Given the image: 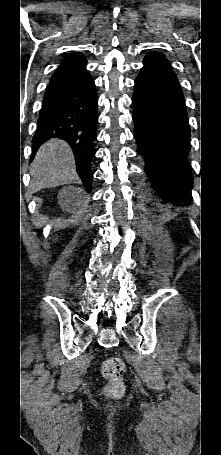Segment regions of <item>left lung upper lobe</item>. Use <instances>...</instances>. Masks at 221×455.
<instances>
[{"label": "left lung upper lobe", "instance_id": "obj_1", "mask_svg": "<svg viewBox=\"0 0 221 455\" xmlns=\"http://www.w3.org/2000/svg\"><path fill=\"white\" fill-rule=\"evenodd\" d=\"M143 63L145 65H149V66L162 65V66H165V67L171 69L169 67V64H168V61L166 60V58L158 53H148L146 55V57L144 58Z\"/></svg>", "mask_w": 221, "mask_h": 455}]
</instances>
